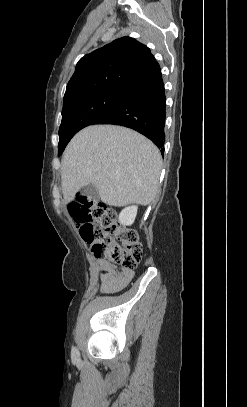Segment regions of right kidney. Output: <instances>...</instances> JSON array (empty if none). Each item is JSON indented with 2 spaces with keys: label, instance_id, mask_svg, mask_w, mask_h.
<instances>
[{
  "label": "right kidney",
  "instance_id": "right-kidney-1",
  "mask_svg": "<svg viewBox=\"0 0 247 407\" xmlns=\"http://www.w3.org/2000/svg\"><path fill=\"white\" fill-rule=\"evenodd\" d=\"M137 209V206H130L123 209L119 214V222L122 225H132L137 215Z\"/></svg>",
  "mask_w": 247,
  "mask_h": 407
}]
</instances>
